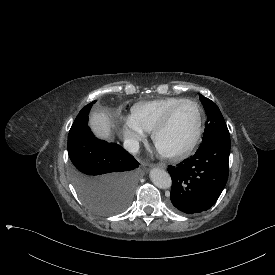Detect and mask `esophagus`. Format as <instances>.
Here are the masks:
<instances>
[{"label":"esophagus","instance_id":"1","mask_svg":"<svg viewBox=\"0 0 275 275\" xmlns=\"http://www.w3.org/2000/svg\"><path fill=\"white\" fill-rule=\"evenodd\" d=\"M155 167L166 169L167 166L163 162H158L155 164Z\"/></svg>","mask_w":275,"mask_h":275}]
</instances>
